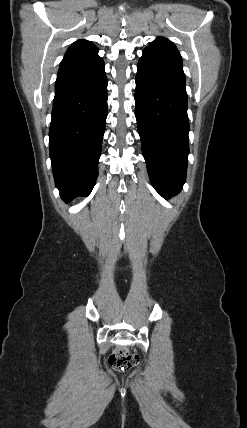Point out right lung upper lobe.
Instances as JSON below:
<instances>
[{
	"label": "right lung upper lobe",
	"mask_w": 247,
	"mask_h": 428,
	"mask_svg": "<svg viewBox=\"0 0 247 428\" xmlns=\"http://www.w3.org/2000/svg\"><path fill=\"white\" fill-rule=\"evenodd\" d=\"M97 55L98 48L96 45L84 39L77 40L66 51L59 70L84 64Z\"/></svg>",
	"instance_id": "right-lung-upper-lobe-1"
}]
</instances>
